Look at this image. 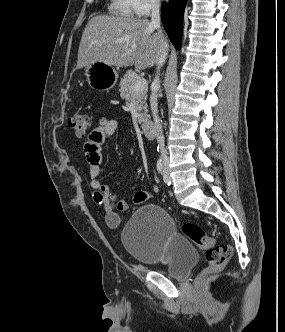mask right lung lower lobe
<instances>
[{
	"mask_svg": "<svg viewBox=\"0 0 285 332\" xmlns=\"http://www.w3.org/2000/svg\"><path fill=\"white\" fill-rule=\"evenodd\" d=\"M187 0L163 2L161 19L173 45L180 49L182 20Z\"/></svg>",
	"mask_w": 285,
	"mask_h": 332,
	"instance_id": "obj_1",
	"label": "right lung lower lobe"
}]
</instances>
